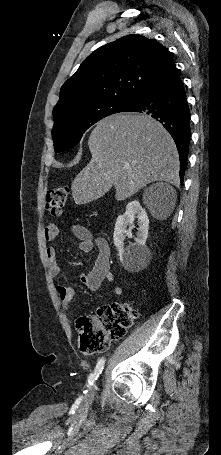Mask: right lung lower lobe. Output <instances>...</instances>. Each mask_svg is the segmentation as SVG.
Wrapping results in <instances>:
<instances>
[{
	"label": "right lung lower lobe",
	"instance_id": "right-lung-lower-lobe-1",
	"mask_svg": "<svg viewBox=\"0 0 221 455\" xmlns=\"http://www.w3.org/2000/svg\"><path fill=\"white\" fill-rule=\"evenodd\" d=\"M126 111L152 116L171 134L179 154L182 184L191 140L190 110L184 85L170 55L123 112Z\"/></svg>",
	"mask_w": 221,
	"mask_h": 455
}]
</instances>
